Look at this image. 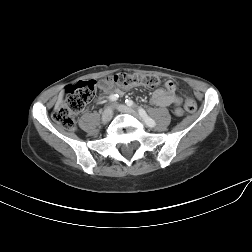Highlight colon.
I'll return each instance as SVG.
<instances>
[{
	"mask_svg": "<svg viewBox=\"0 0 252 252\" xmlns=\"http://www.w3.org/2000/svg\"><path fill=\"white\" fill-rule=\"evenodd\" d=\"M105 82L115 87L117 90H125L134 85H145L148 87H157L162 81L155 75L143 73H117L108 76ZM170 87L175 86L172 81H167ZM97 85L93 80L80 81L69 86L64 94L63 100L56 106L53 111V119L60 126L67 130L75 129V115L79 113L87 103L96 96ZM196 102L189 96L185 97V109L188 112L196 110ZM177 113H181L180 110Z\"/></svg>",
	"mask_w": 252,
	"mask_h": 252,
	"instance_id": "colon-1",
	"label": "colon"
}]
</instances>
